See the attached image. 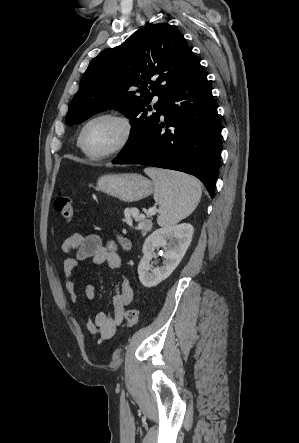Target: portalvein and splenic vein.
Returning a JSON list of instances; mask_svg holds the SVG:
<instances>
[{"label":"portal vein and splenic vein","instance_id":"1","mask_svg":"<svg viewBox=\"0 0 299 443\" xmlns=\"http://www.w3.org/2000/svg\"><path fill=\"white\" fill-rule=\"evenodd\" d=\"M154 212H155V210L153 209V210H150V211L148 212V214H149V215H152Z\"/></svg>","mask_w":299,"mask_h":443}]
</instances>
